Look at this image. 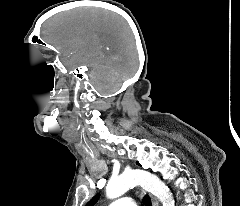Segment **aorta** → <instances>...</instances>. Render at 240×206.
Masks as SVG:
<instances>
[{"instance_id":"obj_1","label":"aorta","mask_w":240,"mask_h":206,"mask_svg":"<svg viewBox=\"0 0 240 206\" xmlns=\"http://www.w3.org/2000/svg\"><path fill=\"white\" fill-rule=\"evenodd\" d=\"M140 185L156 196L163 206H175L169 188L156 175L143 170H132L112 178L106 186V195L110 199L122 196L130 188Z\"/></svg>"}]
</instances>
